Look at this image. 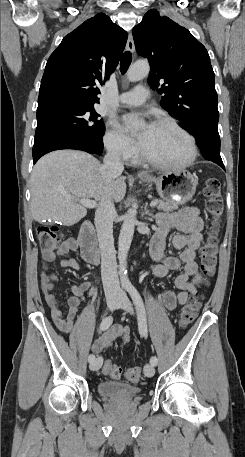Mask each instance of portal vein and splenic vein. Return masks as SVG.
Masks as SVG:
<instances>
[{
  "mask_svg": "<svg viewBox=\"0 0 245 457\" xmlns=\"http://www.w3.org/2000/svg\"><path fill=\"white\" fill-rule=\"evenodd\" d=\"M66 198H69V196H66ZM75 200H79L80 204L88 206V208H94V206H97L96 200H90V198H75ZM155 204H158L157 200H152V202H150V206H155Z\"/></svg>",
  "mask_w": 245,
  "mask_h": 457,
  "instance_id": "portal-vein-and-splenic-vein-1",
  "label": "portal vein and splenic vein"
}]
</instances>
